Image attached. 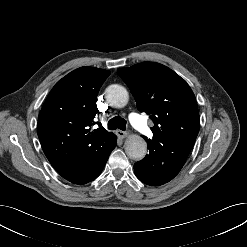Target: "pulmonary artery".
<instances>
[{
  "instance_id": "e3ab8cb5",
  "label": "pulmonary artery",
  "mask_w": 247,
  "mask_h": 247,
  "mask_svg": "<svg viewBox=\"0 0 247 247\" xmlns=\"http://www.w3.org/2000/svg\"><path fill=\"white\" fill-rule=\"evenodd\" d=\"M129 119L131 124L142 133L147 135L151 133L150 127L140 115L133 113L129 116Z\"/></svg>"
}]
</instances>
